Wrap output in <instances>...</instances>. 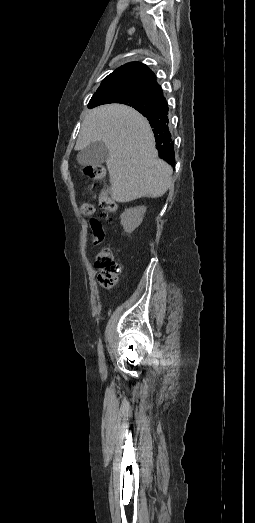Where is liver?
<instances>
[{"label": "liver", "mask_w": 255, "mask_h": 523, "mask_svg": "<svg viewBox=\"0 0 255 523\" xmlns=\"http://www.w3.org/2000/svg\"><path fill=\"white\" fill-rule=\"evenodd\" d=\"M100 140L109 150L106 164L115 202H131L144 196L160 198L167 192L173 170L158 158L152 128L139 112L123 104L90 110L82 122L75 150Z\"/></svg>", "instance_id": "obj_1"}]
</instances>
